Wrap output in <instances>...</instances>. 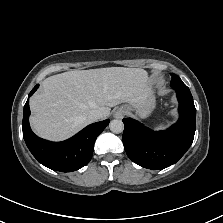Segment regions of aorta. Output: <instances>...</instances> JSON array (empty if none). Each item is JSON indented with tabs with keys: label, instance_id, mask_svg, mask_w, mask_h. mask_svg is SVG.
Returning a JSON list of instances; mask_svg holds the SVG:
<instances>
[{
	"label": "aorta",
	"instance_id": "762f6f07",
	"mask_svg": "<svg viewBox=\"0 0 223 223\" xmlns=\"http://www.w3.org/2000/svg\"><path fill=\"white\" fill-rule=\"evenodd\" d=\"M109 128L113 133H121L124 129V124L122 120L115 119L110 122Z\"/></svg>",
	"mask_w": 223,
	"mask_h": 223
}]
</instances>
